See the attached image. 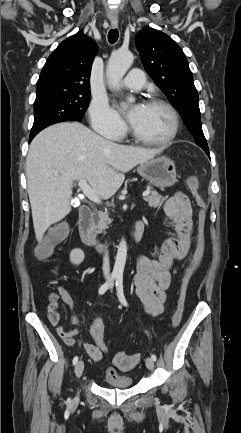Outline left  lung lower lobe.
Returning <instances> with one entry per match:
<instances>
[{"instance_id":"obj_1","label":"left lung lower lobe","mask_w":241,"mask_h":433,"mask_svg":"<svg viewBox=\"0 0 241 433\" xmlns=\"http://www.w3.org/2000/svg\"><path fill=\"white\" fill-rule=\"evenodd\" d=\"M204 151H205L206 154L210 157L209 150H208V149H205Z\"/></svg>"}]
</instances>
